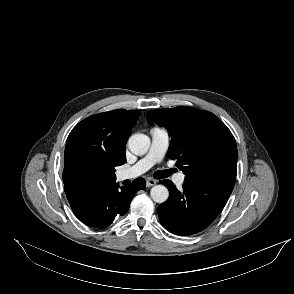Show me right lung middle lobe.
Instances as JSON below:
<instances>
[{"label": "right lung middle lobe", "mask_w": 294, "mask_h": 294, "mask_svg": "<svg viewBox=\"0 0 294 294\" xmlns=\"http://www.w3.org/2000/svg\"><path fill=\"white\" fill-rule=\"evenodd\" d=\"M68 174L75 182L92 184L105 174V169L93 161L82 160L71 166Z\"/></svg>", "instance_id": "dd1d6c3e"}]
</instances>
